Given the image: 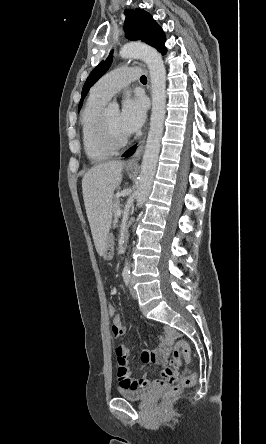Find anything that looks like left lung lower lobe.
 <instances>
[{"label":"left lung lower lobe","mask_w":266,"mask_h":444,"mask_svg":"<svg viewBox=\"0 0 266 444\" xmlns=\"http://www.w3.org/2000/svg\"><path fill=\"white\" fill-rule=\"evenodd\" d=\"M134 152H135V148L132 149L129 153L124 154L123 156H124V157H129V156H131Z\"/></svg>","instance_id":"obj_1"}]
</instances>
